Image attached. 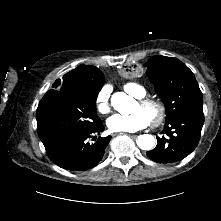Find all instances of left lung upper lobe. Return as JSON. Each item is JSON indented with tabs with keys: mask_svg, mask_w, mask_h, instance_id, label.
I'll list each match as a JSON object with an SVG mask.
<instances>
[{
	"mask_svg": "<svg viewBox=\"0 0 221 221\" xmlns=\"http://www.w3.org/2000/svg\"><path fill=\"white\" fill-rule=\"evenodd\" d=\"M147 75L166 107V122L196 108H202L203 96L193 72L173 57L154 56L148 60ZM177 142V141H176ZM175 145L162 149L165 158L175 153Z\"/></svg>",
	"mask_w": 221,
	"mask_h": 221,
	"instance_id": "obj_1",
	"label": "left lung upper lobe"
}]
</instances>
